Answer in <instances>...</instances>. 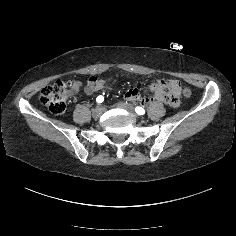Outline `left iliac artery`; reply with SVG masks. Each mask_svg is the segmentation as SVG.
I'll return each mask as SVG.
<instances>
[{"label": "left iliac artery", "instance_id": "44dca946", "mask_svg": "<svg viewBox=\"0 0 236 236\" xmlns=\"http://www.w3.org/2000/svg\"><path fill=\"white\" fill-rule=\"evenodd\" d=\"M135 111H136V113H137L138 115H143V114H145L144 108H142V107H140V106H137V107L135 108Z\"/></svg>", "mask_w": 236, "mask_h": 236}]
</instances>
